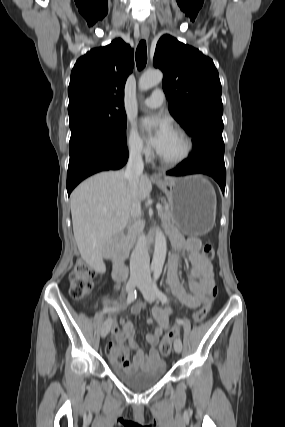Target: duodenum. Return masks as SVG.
Segmentation results:
<instances>
[{
  "label": "duodenum",
  "mask_w": 285,
  "mask_h": 427,
  "mask_svg": "<svg viewBox=\"0 0 285 427\" xmlns=\"http://www.w3.org/2000/svg\"><path fill=\"white\" fill-rule=\"evenodd\" d=\"M116 242H117V244L119 246V249L116 252L115 258H114V260H115V268H114L113 276H114L115 279L122 280L127 275V266H126L125 258H124V255L122 253V248H121V245H122V242H123V238L119 237L116 240Z\"/></svg>",
  "instance_id": "duodenum-1"
}]
</instances>
